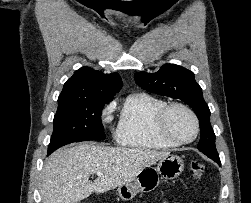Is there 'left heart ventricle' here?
Instances as JSON below:
<instances>
[{
	"instance_id": "left-heart-ventricle-1",
	"label": "left heart ventricle",
	"mask_w": 251,
	"mask_h": 203,
	"mask_svg": "<svg viewBox=\"0 0 251 203\" xmlns=\"http://www.w3.org/2000/svg\"><path fill=\"white\" fill-rule=\"evenodd\" d=\"M168 132L177 139H189L195 130L192 117L181 108H173L167 119Z\"/></svg>"
}]
</instances>
